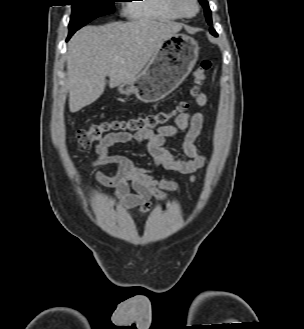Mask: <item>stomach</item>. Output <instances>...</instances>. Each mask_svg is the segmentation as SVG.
<instances>
[{
    "instance_id": "1",
    "label": "stomach",
    "mask_w": 304,
    "mask_h": 329,
    "mask_svg": "<svg viewBox=\"0 0 304 329\" xmlns=\"http://www.w3.org/2000/svg\"><path fill=\"white\" fill-rule=\"evenodd\" d=\"M199 54L197 41L185 34L165 39L145 69L132 81L119 85L121 94L133 93L144 103L162 100L188 76Z\"/></svg>"
}]
</instances>
